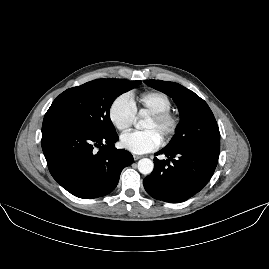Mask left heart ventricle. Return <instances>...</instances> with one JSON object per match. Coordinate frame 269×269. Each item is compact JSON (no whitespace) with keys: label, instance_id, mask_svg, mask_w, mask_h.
<instances>
[{"label":"left heart ventricle","instance_id":"1","mask_svg":"<svg viewBox=\"0 0 269 269\" xmlns=\"http://www.w3.org/2000/svg\"><path fill=\"white\" fill-rule=\"evenodd\" d=\"M145 129L147 131H155L160 136L162 142L165 140L168 133V126L162 124L159 120L152 116L150 117Z\"/></svg>","mask_w":269,"mask_h":269}]
</instances>
